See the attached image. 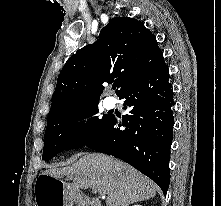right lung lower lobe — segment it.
<instances>
[{
    "label": "right lung lower lobe",
    "instance_id": "98d812e1",
    "mask_svg": "<svg viewBox=\"0 0 221 206\" xmlns=\"http://www.w3.org/2000/svg\"><path fill=\"white\" fill-rule=\"evenodd\" d=\"M165 62L119 97L128 114L110 120L84 146L115 156L155 181L166 194L174 118L172 85ZM124 126L121 130L119 127Z\"/></svg>",
    "mask_w": 221,
    "mask_h": 206
}]
</instances>
